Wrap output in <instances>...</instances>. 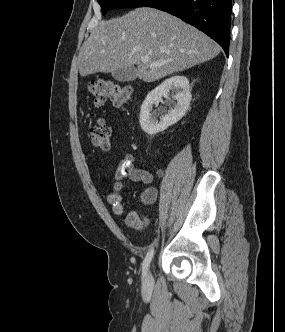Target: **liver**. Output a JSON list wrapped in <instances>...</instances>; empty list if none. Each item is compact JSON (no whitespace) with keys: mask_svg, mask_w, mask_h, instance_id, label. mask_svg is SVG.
<instances>
[{"mask_svg":"<svg viewBox=\"0 0 285 332\" xmlns=\"http://www.w3.org/2000/svg\"><path fill=\"white\" fill-rule=\"evenodd\" d=\"M220 46L210 37L166 12L141 7L98 22L79 52L82 77L137 65L136 76L154 82L213 59ZM149 62L143 63L142 57ZM151 64H162L151 68Z\"/></svg>","mask_w":285,"mask_h":332,"instance_id":"6515ba94","label":"liver"}]
</instances>
